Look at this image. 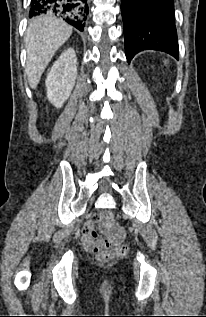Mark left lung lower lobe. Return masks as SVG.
I'll list each match as a JSON object with an SVG mask.
<instances>
[{
    "instance_id": "left-lung-lower-lobe-1",
    "label": "left lung lower lobe",
    "mask_w": 206,
    "mask_h": 317,
    "mask_svg": "<svg viewBox=\"0 0 206 317\" xmlns=\"http://www.w3.org/2000/svg\"><path fill=\"white\" fill-rule=\"evenodd\" d=\"M127 61L152 49L179 59L173 0H121Z\"/></svg>"
}]
</instances>
